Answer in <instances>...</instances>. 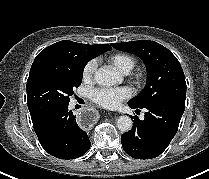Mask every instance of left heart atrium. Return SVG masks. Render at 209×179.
I'll return each mask as SVG.
<instances>
[{"instance_id":"obj_1","label":"left heart atrium","mask_w":209,"mask_h":179,"mask_svg":"<svg viewBox=\"0 0 209 179\" xmlns=\"http://www.w3.org/2000/svg\"><path fill=\"white\" fill-rule=\"evenodd\" d=\"M132 95L129 87H102L93 89L90 93L91 100L106 109L117 108L122 101Z\"/></svg>"}]
</instances>
